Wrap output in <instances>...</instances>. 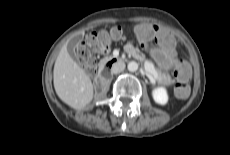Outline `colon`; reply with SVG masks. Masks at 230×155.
Listing matches in <instances>:
<instances>
[{
  "label": "colon",
  "instance_id": "5ec220e1",
  "mask_svg": "<svg viewBox=\"0 0 230 155\" xmlns=\"http://www.w3.org/2000/svg\"><path fill=\"white\" fill-rule=\"evenodd\" d=\"M124 39L123 30L119 26H113L107 30L95 31L88 34L77 46V55L88 70H93L95 59L92 51L105 52L111 42H118ZM190 69L185 62L179 61L175 65V76L177 78L176 94L179 97L187 95L189 90L188 77Z\"/></svg>",
  "mask_w": 230,
  "mask_h": 155
}]
</instances>
